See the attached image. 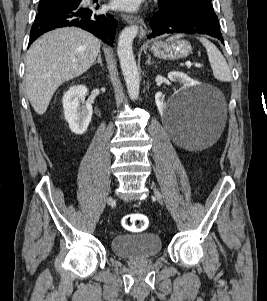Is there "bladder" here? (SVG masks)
Instances as JSON below:
<instances>
[{
    "mask_svg": "<svg viewBox=\"0 0 267 301\" xmlns=\"http://www.w3.org/2000/svg\"><path fill=\"white\" fill-rule=\"evenodd\" d=\"M112 252L125 259L151 258L162 251V240L153 232L118 234L110 241Z\"/></svg>",
    "mask_w": 267,
    "mask_h": 301,
    "instance_id": "obj_1",
    "label": "bladder"
}]
</instances>
